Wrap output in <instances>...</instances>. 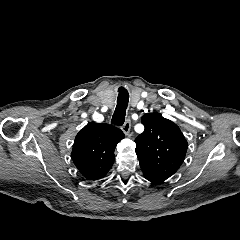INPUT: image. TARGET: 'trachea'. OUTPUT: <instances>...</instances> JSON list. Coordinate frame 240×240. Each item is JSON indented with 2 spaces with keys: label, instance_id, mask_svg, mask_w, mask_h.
<instances>
[{
  "label": "trachea",
  "instance_id": "obj_1",
  "mask_svg": "<svg viewBox=\"0 0 240 240\" xmlns=\"http://www.w3.org/2000/svg\"><path fill=\"white\" fill-rule=\"evenodd\" d=\"M118 92L119 94L117 98V106L114 111L111 123L114 125L121 126L124 124V121H125L126 109L129 101V93L123 87H120L118 89Z\"/></svg>",
  "mask_w": 240,
  "mask_h": 240
}]
</instances>
